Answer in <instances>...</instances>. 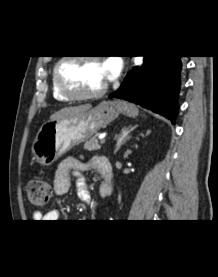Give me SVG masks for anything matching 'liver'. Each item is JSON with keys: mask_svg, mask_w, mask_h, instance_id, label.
Masks as SVG:
<instances>
[{"mask_svg": "<svg viewBox=\"0 0 218 277\" xmlns=\"http://www.w3.org/2000/svg\"><path fill=\"white\" fill-rule=\"evenodd\" d=\"M92 106L90 104L86 105H80V106H75V107H66L63 108L56 113L52 114L50 116V120H58V119H63V118H68V117H73L76 115H79L83 112H86L90 110Z\"/></svg>", "mask_w": 218, "mask_h": 277, "instance_id": "liver-1", "label": "liver"}]
</instances>
